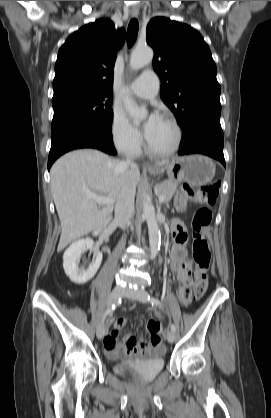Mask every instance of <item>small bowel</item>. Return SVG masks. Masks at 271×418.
<instances>
[{
    "instance_id": "1",
    "label": "small bowel",
    "mask_w": 271,
    "mask_h": 418,
    "mask_svg": "<svg viewBox=\"0 0 271 418\" xmlns=\"http://www.w3.org/2000/svg\"><path fill=\"white\" fill-rule=\"evenodd\" d=\"M172 236L174 239V247L171 253V269L176 274L180 282L178 291L179 300L183 305H187L192 298V285L195 283V274L186 264L187 255V232L185 226L178 219L171 221ZM158 322L157 320H154ZM127 320L123 317L117 318L113 322L112 330L107 332L104 337V348L106 354L111 358H117L122 355L138 356L142 354H149L164 352V345L153 343L140 338L136 339L133 333H127L122 342L117 341L119 331L126 325ZM160 330L156 333L159 336ZM152 336V334H151Z\"/></svg>"
}]
</instances>
